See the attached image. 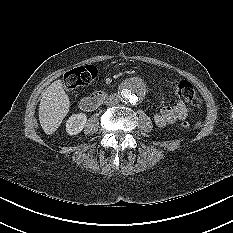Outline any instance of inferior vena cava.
Returning a JSON list of instances; mask_svg holds the SVG:
<instances>
[{"label": "inferior vena cava", "instance_id": "inferior-vena-cava-1", "mask_svg": "<svg viewBox=\"0 0 233 233\" xmlns=\"http://www.w3.org/2000/svg\"><path fill=\"white\" fill-rule=\"evenodd\" d=\"M118 102H119V97L116 94H112V95L108 96L105 100V104L109 105V106L116 105V104H118Z\"/></svg>", "mask_w": 233, "mask_h": 233}]
</instances>
